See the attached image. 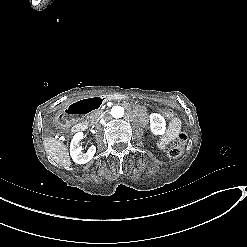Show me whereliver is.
<instances>
[{"instance_id":"1","label":"liver","mask_w":247,"mask_h":247,"mask_svg":"<svg viewBox=\"0 0 247 247\" xmlns=\"http://www.w3.org/2000/svg\"><path fill=\"white\" fill-rule=\"evenodd\" d=\"M43 146L52 165L55 167H63L65 169L72 166L69 149L61 140L55 137H45L43 139Z\"/></svg>"}]
</instances>
